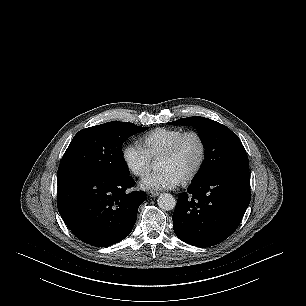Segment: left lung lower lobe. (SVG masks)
Returning a JSON list of instances; mask_svg holds the SVG:
<instances>
[{"label":"left lung lower lobe","mask_w":306,"mask_h":306,"mask_svg":"<svg viewBox=\"0 0 306 306\" xmlns=\"http://www.w3.org/2000/svg\"><path fill=\"white\" fill-rule=\"evenodd\" d=\"M187 191L172 217L175 234L193 246L216 245L237 229L250 203L249 169L217 172L192 181Z\"/></svg>","instance_id":"0a47b994"}]
</instances>
